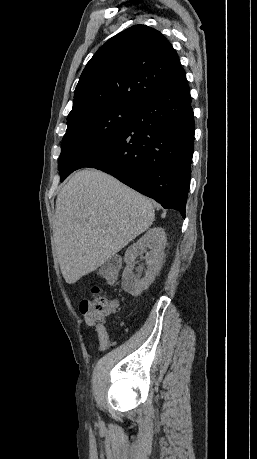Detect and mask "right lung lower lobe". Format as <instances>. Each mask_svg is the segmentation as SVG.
Returning a JSON list of instances; mask_svg holds the SVG:
<instances>
[{
	"label": "right lung lower lobe",
	"instance_id": "1",
	"mask_svg": "<svg viewBox=\"0 0 257 459\" xmlns=\"http://www.w3.org/2000/svg\"><path fill=\"white\" fill-rule=\"evenodd\" d=\"M135 108L127 128L78 169L109 173L185 218L194 146L186 75Z\"/></svg>",
	"mask_w": 257,
	"mask_h": 459
}]
</instances>
